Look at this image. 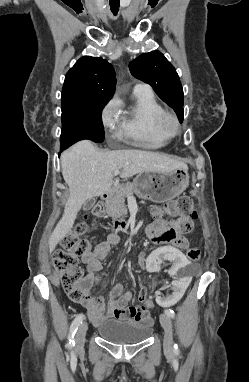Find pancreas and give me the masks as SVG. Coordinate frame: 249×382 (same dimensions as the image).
<instances>
[{
    "label": "pancreas",
    "instance_id": "1",
    "mask_svg": "<svg viewBox=\"0 0 249 382\" xmlns=\"http://www.w3.org/2000/svg\"><path fill=\"white\" fill-rule=\"evenodd\" d=\"M133 193V184L127 183L116 187L112 195L106 201V212L113 218L127 215L125 198Z\"/></svg>",
    "mask_w": 249,
    "mask_h": 382
}]
</instances>
